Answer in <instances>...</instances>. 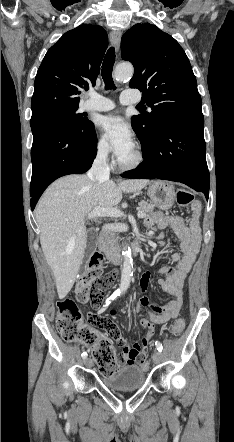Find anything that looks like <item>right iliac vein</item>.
Returning a JSON list of instances; mask_svg holds the SVG:
<instances>
[{
    "instance_id": "1",
    "label": "right iliac vein",
    "mask_w": 234,
    "mask_h": 442,
    "mask_svg": "<svg viewBox=\"0 0 234 442\" xmlns=\"http://www.w3.org/2000/svg\"><path fill=\"white\" fill-rule=\"evenodd\" d=\"M84 365H85L86 367H91V366H92V361H91V359H90V358H86V359L84 360Z\"/></svg>"
}]
</instances>
